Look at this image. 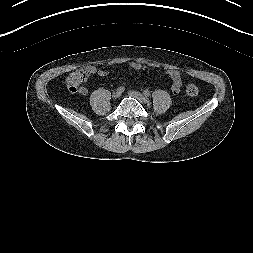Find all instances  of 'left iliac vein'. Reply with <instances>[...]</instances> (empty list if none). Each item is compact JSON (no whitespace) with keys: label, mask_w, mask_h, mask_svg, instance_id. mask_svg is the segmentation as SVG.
<instances>
[{"label":"left iliac vein","mask_w":253,"mask_h":253,"mask_svg":"<svg viewBox=\"0 0 253 253\" xmlns=\"http://www.w3.org/2000/svg\"><path fill=\"white\" fill-rule=\"evenodd\" d=\"M129 94L140 102L147 101V98L138 91H129Z\"/></svg>","instance_id":"left-iliac-vein-1"}]
</instances>
